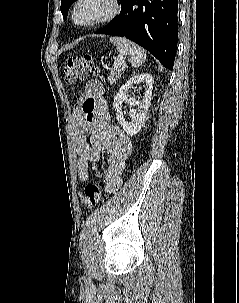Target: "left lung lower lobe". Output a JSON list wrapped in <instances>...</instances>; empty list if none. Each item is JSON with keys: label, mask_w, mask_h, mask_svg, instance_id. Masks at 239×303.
<instances>
[{"label": "left lung lower lobe", "mask_w": 239, "mask_h": 303, "mask_svg": "<svg viewBox=\"0 0 239 303\" xmlns=\"http://www.w3.org/2000/svg\"><path fill=\"white\" fill-rule=\"evenodd\" d=\"M121 12L95 32L126 37L173 69L178 40V0H124Z\"/></svg>", "instance_id": "0a47b994"}]
</instances>
